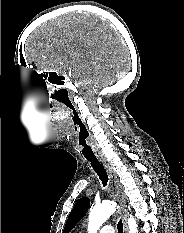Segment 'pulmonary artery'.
<instances>
[{
    "label": "pulmonary artery",
    "mask_w": 184,
    "mask_h": 233,
    "mask_svg": "<svg viewBox=\"0 0 184 233\" xmlns=\"http://www.w3.org/2000/svg\"><path fill=\"white\" fill-rule=\"evenodd\" d=\"M99 233H115V230L111 225H105L100 228Z\"/></svg>",
    "instance_id": "1"
}]
</instances>
